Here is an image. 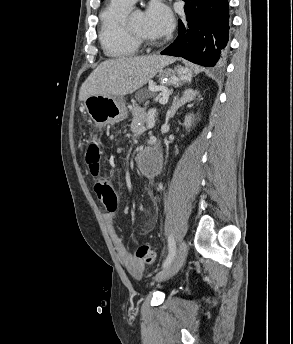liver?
I'll use <instances>...</instances> for the list:
<instances>
[{
	"label": "liver",
	"mask_w": 293,
	"mask_h": 344,
	"mask_svg": "<svg viewBox=\"0 0 293 344\" xmlns=\"http://www.w3.org/2000/svg\"><path fill=\"white\" fill-rule=\"evenodd\" d=\"M173 58L162 55L120 57L102 62L85 80L79 100L93 95L124 96L143 87Z\"/></svg>",
	"instance_id": "liver-1"
}]
</instances>
